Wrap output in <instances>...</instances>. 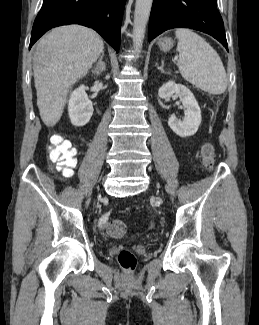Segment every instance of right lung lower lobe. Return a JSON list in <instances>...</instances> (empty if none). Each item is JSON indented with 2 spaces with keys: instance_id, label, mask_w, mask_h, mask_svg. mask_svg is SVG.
Instances as JSON below:
<instances>
[{
  "instance_id": "obj_1",
  "label": "right lung lower lobe",
  "mask_w": 259,
  "mask_h": 325,
  "mask_svg": "<svg viewBox=\"0 0 259 325\" xmlns=\"http://www.w3.org/2000/svg\"><path fill=\"white\" fill-rule=\"evenodd\" d=\"M126 0H43L32 28L29 49L49 29L80 24L97 31L115 50Z\"/></svg>"
}]
</instances>
